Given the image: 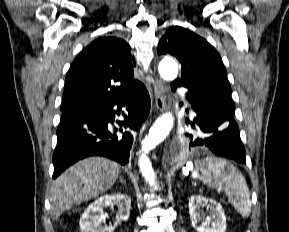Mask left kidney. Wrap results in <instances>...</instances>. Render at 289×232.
Returning <instances> with one entry per match:
<instances>
[{
	"mask_svg": "<svg viewBox=\"0 0 289 232\" xmlns=\"http://www.w3.org/2000/svg\"><path fill=\"white\" fill-rule=\"evenodd\" d=\"M189 214L192 225L198 232L226 231L224 210L214 199L202 195H192L189 198Z\"/></svg>",
	"mask_w": 289,
	"mask_h": 232,
	"instance_id": "left-kidney-1",
	"label": "left kidney"
}]
</instances>
